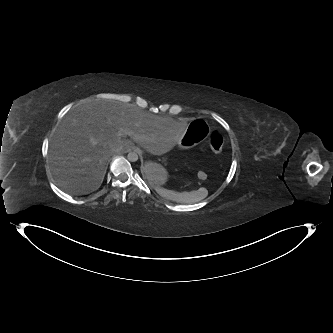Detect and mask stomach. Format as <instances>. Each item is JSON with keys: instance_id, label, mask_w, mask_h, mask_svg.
<instances>
[{"instance_id": "0dacf381", "label": "stomach", "mask_w": 333, "mask_h": 333, "mask_svg": "<svg viewBox=\"0 0 333 333\" xmlns=\"http://www.w3.org/2000/svg\"><path fill=\"white\" fill-rule=\"evenodd\" d=\"M210 125L203 119H197L189 125V130L179 141L180 148H191L198 145L210 135ZM143 177L151 187L167 188L173 182V175L167 167L158 162L150 161L143 168Z\"/></svg>"}]
</instances>
